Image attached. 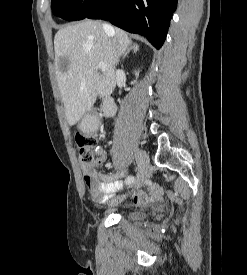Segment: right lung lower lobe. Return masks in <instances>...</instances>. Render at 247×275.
I'll use <instances>...</instances> for the list:
<instances>
[{
  "label": "right lung lower lobe",
  "mask_w": 247,
  "mask_h": 275,
  "mask_svg": "<svg viewBox=\"0 0 247 275\" xmlns=\"http://www.w3.org/2000/svg\"><path fill=\"white\" fill-rule=\"evenodd\" d=\"M178 0H105L85 18L108 20L128 31L145 36L159 49L166 38Z\"/></svg>",
  "instance_id": "obj_1"
}]
</instances>
